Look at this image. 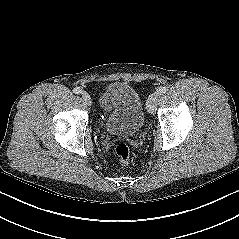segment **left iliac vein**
<instances>
[{
	"instance_id": "4c4485c4",
	"label": "left iliac vein",
	"mask_w": 239,
	"mask_h": 239,
	"mask_svg": "<svg viewBox=\"0 0 239 239\" xmlns=\"http://www.w3.org/2000/svg\"><path fill=\"white\" fill-rule=\"evenodd\" d=\"M160 93L158 91L154 92L147 100V110L149 113L154 114L156 112V107Z\"/></svg>"
}]
</instances>
